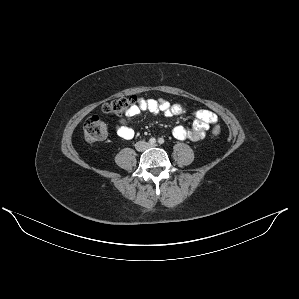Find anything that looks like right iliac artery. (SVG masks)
<instances>
[{"label":"right iliac artery","mask_w":299,"mask_h":299,"mask_svg":"<svg viewBox=\"0 0 299 299\" xmlns=\"http://www.w3.org/2000/svg\"><path fill=\"white\" fill-rule=\"evenodd\" d=\"M156 143V139L155 138H150L149 139V144L154 145Z\"/></svg>","instance_id":"1"}]
</instances>
